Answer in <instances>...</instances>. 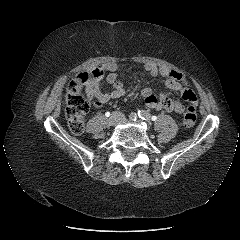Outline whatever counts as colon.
Returning <instances> with one entry per match:
<instances>
[{
	"label": "colon",
	"mask_w": 240,
	"mask_h": 240,
	"mask_svg": "<svg viewBox=\"0 0 240 240\" xmlns=\"http://www.w3.org/2000/svg\"><path fill=\"white\" fill-rule=\"evenodd\" d=\"M103 74V70L97 68L88 73L77 75L70 82L66 96V119L72 133H83L85 117L90 107L88 100L84 96V92L93 79L102 78ZM183 122L187 127H192L195 124L196 105L193 103H188L185 106Z\"/></svg>",
	"instance_id": "obj_1"
}]
</instances>
